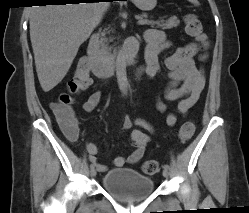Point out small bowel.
<instances>
[{"mask_svg":"<svg viewBox=\"0 0 249 213\" xmlns=\"http://www.w3.org/2000/svg\"><path fill=\"white\" fill-rule=\"evenodd\" d=\"M144 41L146 47V62L138 70V75L145 74L150 78H155L162 73V66L159 61V54L169 46L163 32L156 29H148L144 33ZM198 53V45L189 43L178 48L172 55L165 60V75L168 79L167 86L163 96L157 99V108L161 112L168 110L167 102H177L175 112H170L167 115V124L174 126L177 122V115H187L192 106L198 101L201 92L205 85V73L203 68L197 67L194 61L195 55ZM102 97L101 91L93 92L83 103V109L86 112H92L99 104ZM133 125L141 126L151 132L154 131V126L142 118L132 119L126 117L122 121V129L130 130ZM62 128L71 140H76L78 136V123L74 120L71 126ZM129 141L134 146V150L127 157L118 156L114 159L116 167H122L126 163L136 164L139 162L146 150V146L150 141V137L138 129H133L129 132ZM86 149L89 153V159L96 164L99 171H107V167L97 162L96 155L99 148L94 143H87Z\"/></svg>","mask_w":249,"mask_h":213,"instance_id":"small-bowel-1","label":"small bowel"}]
</instances>
